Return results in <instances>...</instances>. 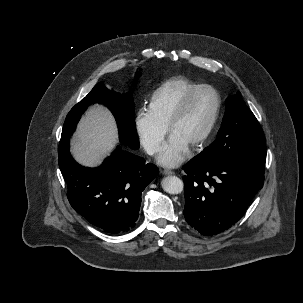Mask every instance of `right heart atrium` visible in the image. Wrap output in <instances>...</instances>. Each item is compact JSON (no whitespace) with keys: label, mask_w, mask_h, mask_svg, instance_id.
Wrapping results in <instances>:
<instances>
[{"label":"right heart atrium","mask_w":303,"mask_h":303,"mask_svg":"<svg viewBox=\"0 0 303 303\" xmlns=\"http://www.w3.org/2000/svg\"><path fill=\"white\" fill-rule=\"evenodd\" d=\"M134 126L139 141L149 155L157 154L167 134V125L160 122L149 109L137 111Z\"/></svg>","instance_id":"d8ad5b80"}]
</instances>
